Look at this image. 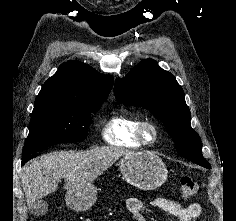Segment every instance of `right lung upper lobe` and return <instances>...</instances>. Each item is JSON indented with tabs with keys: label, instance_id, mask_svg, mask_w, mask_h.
Wrapping results in <instances>:
<instances>
[{
	"label": "right lung upper lobe",
	"instance_id": "cb5924a9",
	"mask_svg": "<svg viewBox=\"0 0 236 221\" xmlns=\"http://www.w3.org/2000/svg\"><path fill=\"white\" fill-rule=\"evenodd\" d=\"M112 83V76L101 75L85 63L67 61L44 83L35 103H103Z\"/></svg>",
	"mask_w": 236,
	"mask_h": 221
}]
</instances>
